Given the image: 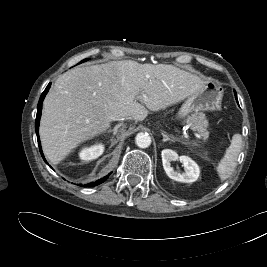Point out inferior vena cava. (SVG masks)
Here are the masks:
<instances>
[{"label": "inferior vena cava", "mask_w": 267, "mask_h": 267, "mask_svg": "<svg viewBox=\"0 0 267 267\" xmlns=\"http://www.w3.org/2000/svg\"><path fill=\"white\" fill-rule=\"evenodd\" d=\"M126 119H131L130 117L126 118ZM115 120H124V118H116Z\"/></svg>", "instance_id": "1"}]
</instances>
